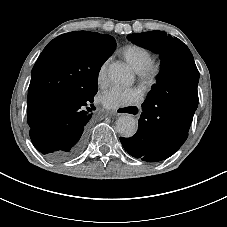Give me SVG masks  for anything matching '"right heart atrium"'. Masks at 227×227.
<instances>
[{
  "label": "right heart atrium",
  "mask_w": 227,
  "mask_h": 227,
  "mask_svg": "<svg viewBox=\"0 0 227 227\" xmlns=\"http://www.w3.org/2000/svg\"><path fill=\"white\" fill-rule=\"evenodd\" d=\"M108 63H109L108 59L103 61L97 70L96 81H97L98 86H100V87L105 86L108 82V76H107Z\"/></svg>",
  "instance_id": "right-heart-atrium-1"
}]
</instances>
